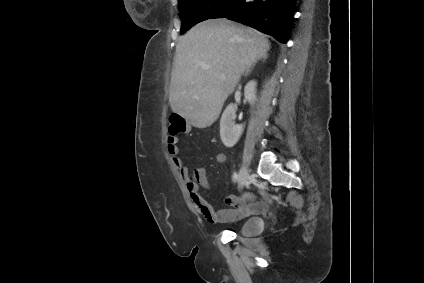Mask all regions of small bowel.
<instances>
[{"label": "small bowel", "mask_w": 424, "mask_h": 283, "mask_svg": "<svg viewBox=\"0 0 424 283\" xmlns=\"http://www.w3.org/2000/svg\"><path fill=\"white\" fill-rule=\"evenodd\" d=\"M179 141L180 138L178 136L170 135L168 137V151L185 182L193 206L209 223L235 221L265 207L268 199L267 195H264V199L259 201L249 194L246 197L227 196L225 203L232 206V208L215 210L200 193L201 188L210 190L206 169L204 167H196L192 171L189 170L188 166L179 157ZM216 160L220 164H225L227 156L224 153H219L216 156Z\"/></svg>", "instance_id": "1"}]
</instances>
